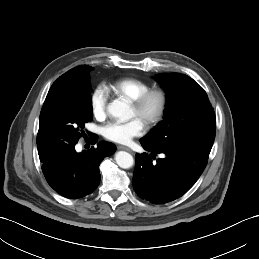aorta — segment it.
<instances>
[{
  "instance_id": "obj_1",
  "label": "aorta",
  "mask_w": 259,
  "mask_h": 259,
  "mask_svg": "<svg viewBox=\"0 0 259 259\" xmlns=\"http://www.w3.org/2000/svg\"><path fill=\"white\" fill-rule=\"evenodd\" d=\"M107 111L109 115L119 118L122 121H126L132 117L130 106L120 99H115L109 103ZM115 161L121 168L124 169H129L134 164L132 155L125 151L117 152L115 154Z\"/></svg>"
}]
</instances>
